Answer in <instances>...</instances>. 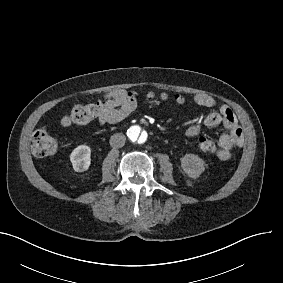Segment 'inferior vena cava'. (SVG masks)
Here are the masks:
<instances>
[{
	"label": "inferior vena cava",
	"instance_id": "obj_1",
	"mask_svg": "<svg viewBox=\"0 0 283 283\" xmlns=\"http://www.w3.org/2000/svg\"><path fill=\"white\" fill-rule=\"evenodd\" d=\"M126 136L123 133H116L110 137V145L114 148H121L125 145Z\"/></svg>",
	"mask_w": 283,
	"mask_h": 283
}]
</instances>
